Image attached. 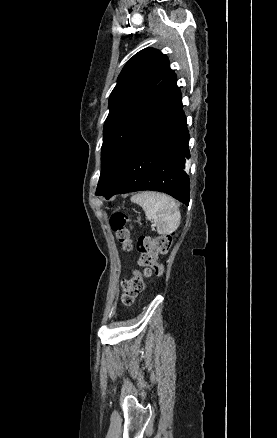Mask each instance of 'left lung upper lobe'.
I'll list each match as a JSON object with an SVG mask.
<instances>
[{"label": "left lung upper lobe", "mask_w": 277, "mask_h": 438, "mask_svg": "<svg viewBox=\"0 0 277 438\" xmlns=\"http://www.w3.org/2000/svg\"><path fill=\"white\" fill-rule=\"evenodd\" d=\"M150 95L166 100L183 113L181 92L168 58L156 49L146 48L127 62L110 95L96 195H101L117 179L132 142L137 115Z\"/></svg>", "instance_id": "5c2ea615"}]
</instances>
